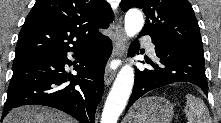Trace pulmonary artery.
<instances>
[{
	"label": "pulmonary artery",
	"instance_id": "e3ab8cb5",
	"mask_svg": "<svg viewBox=\"0 0 221 123\" xmlns=\"http://www.w3.org/2000/svg\"><path fill=\"white\" fill-rule=\"evenodd\" d=\"M144 42H145V45L149 54L155 55V49H154L153 43L148 38H144Z\"/></svg>",
	"mask_w": 221,
	"mask_h": 123
}]
</instances>
